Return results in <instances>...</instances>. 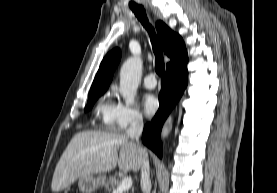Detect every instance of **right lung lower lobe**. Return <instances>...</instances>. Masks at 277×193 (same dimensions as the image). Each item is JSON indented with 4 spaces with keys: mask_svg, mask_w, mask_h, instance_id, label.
I'll use <instances>...</instances> for the list:
<instances>
[{
    "mask_svg": "<svg viewBox=\"0 0 277 193\" xmlns=\"http://www.w3.org/2000/svg\"><path fill=\"white\" fill-rule=\"evenodd\" d=\"M188 56L185 54L180 59L167 66L166 74L161 80V91L159 93V110L150 124L144 127L142 141L154 151L157 156L162 157V144L160 141L161 129L172 108L181 98L187 86Z\"/></svg>",
    "mask_w": 277,
    "mask_h": 193,
    "instance_id": "1",
    "label": "right lung lower lobe"
}]
</instances>
